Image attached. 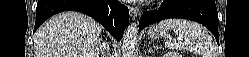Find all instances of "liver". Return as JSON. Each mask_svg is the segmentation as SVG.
Wrapping results in <instances>:
<instances>
[{"mask_svg":"<svg viewBox=\"0 0 249 57\" xmlns=\"http://www.w3.org/2000/svg\"><path fill=\"white\" fill-rule=\"evenodd\" d=\"M101 32L102 26L87 15L60 13L36 32L34 57H99Z\"/></svg>","mask_w":249,"mask_h":57,"instance_id":"1","label":"liver"}]
</instances>
